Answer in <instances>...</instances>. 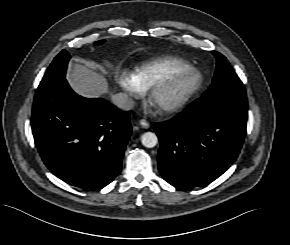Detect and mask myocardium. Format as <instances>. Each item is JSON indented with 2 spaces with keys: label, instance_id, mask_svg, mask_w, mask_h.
Listing matches in <instances>:
<instances>
[{
  "label": "myocardium",
  "instance_id": "f54148a6",
  "mask_svg": "<svg viewBox=\"0 0 290 245\" xmlns=\"http://www.w3.org/2000/svg\"><path fill=\"white\" fill-rule=\"evenodd\" d=\"M190 76L193 78L191 85L188 89L176 100L170 104L159 105V96L166 89L175 85L180 79ZM204 83V76L202 72L189 66L184 69L174 71L166 74L161 79L157 80L149 89V96L152 102L158 105L160 111L164 114H172L183 109L199 92Z\"/></svg>",
  "mask_w": 290,
  "mask_h": 245
}]
</instances>
